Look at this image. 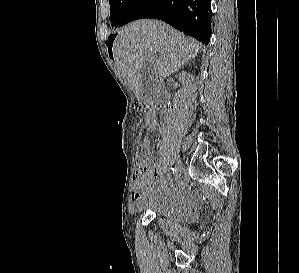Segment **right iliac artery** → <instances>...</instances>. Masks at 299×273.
Listing matches in <instances>:
<instances>
[{
  "label": "right iliac artery",
  "instance_id": "right-iliac-artery-1",
  "mask_svg": "<svg viewBox=\"0 0 299 273\" xmlns=\"http://www.w3.org/2000/svg\"><path fill=\"white\" fill-rule=\"evenodd\" d=\"M175 172V169L172 167L169 171V177L171 178Z\"/></svg>",
  "mask_w": 299,
  "mask_h": 273
}]
</instances>
